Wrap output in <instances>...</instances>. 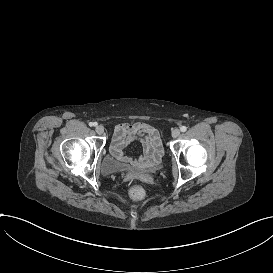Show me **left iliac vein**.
<instances>
[{"mask_svg": "<svg viewBox=\"0 0 273 273\" xmlns=\"http://www.w3.org/2000/svg\"><path fill=\"white\" fill-rule=\"evenodd\" d=\"M180 135V130L175 128L173 131H172V136L174 138H177L178 136Z\"/></svg>", "mask_w": 273, "mask_h": 273, "instance_id": "4c4485c4", "label": "left iliac vein"}]
</instances>
